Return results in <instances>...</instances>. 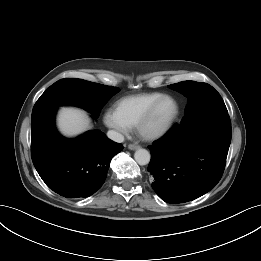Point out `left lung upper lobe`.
<instances>
[{"label":"left lung upper lobe","instance_id":"left-lung-upper-lobe-1","mask_svg":"<svg viewBox=\"0 0 261 261\" xmlns=\"http://www.w3.org/2000/svg\"><path fill=\"white\" fill-rule=\"evenodd\" d=\"M168 87L180 92L188 99L182 124L200 116L228 113L220 94L207 83L183 81Z\"/></svg>","mask_w":261,"mask_h":261}]
</instances>
